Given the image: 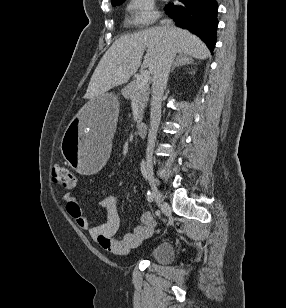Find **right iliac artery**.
I'll return each mask as SVG.
<instances>
[{
  "mask_svg": "<svg viewBox=\"0 0 286 308\" xmlns=\"http://www.w3.org/2000/svg\"><path fill=\"white\" fill-rule=\"evenodd\" d=\"M141 172H142V175H143V177L145 178V180H149V175H148V171H147V169H146L145 161H144V160L141 162ZM147 199H148L149 202H152V201H153V195H152V193H151L150 191L147 192ZM155 214H156L157 216H160V211L157 210V211L155 212Z\"/></svg>",
  "mask_w": 286,
  "mask_h": 308,
  "instance_id": "right-iliac-artery-1",
  "label": "right iliac artery"
}]
</instances>
